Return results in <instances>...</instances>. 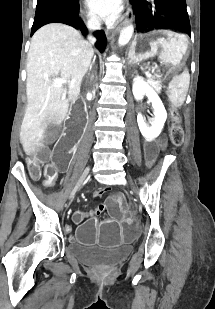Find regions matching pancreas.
Listing matches in <instances>:
<instances>
[{
  "label": "pancreas",
  "instance_id": "pancreas-1",
  "mask_svg": "<svg viewBox=\"0 0 215 309\" xmlns=\"http://www.w3.org/2000/svg\"><path fill=\"white\" fill-rule=\"evenodd\" d=\"M150 80H153V78H150ZM150 84H151V82H150ZM154 86H155L156 90H158V92H159V90H161L160 84H154Z\"/></svg>",
  "mask_w": 215,
  "mask_h": 309
}]
</instances>
